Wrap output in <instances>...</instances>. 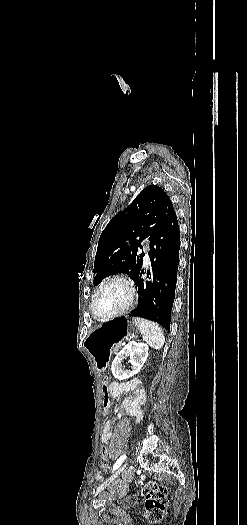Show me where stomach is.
I'll list each match as a JSON object with an SVG mask.
<instances>
[{
	"label": "stomach",
	"instance_id": "obj_1",
	"mask_svg": "<svg viewBox=\"0 0 247 525\" xmlns=\"http://www.w3.org/2000/svg\"><path fill=\"white\" fill-rule=\"evenodd\" d=\"M138 332L134 320L118 317L96 326L84 343L87 352L92 356L97 370L104 371L109 363L111 349L128 337Z\"/></svg>",
	"mask_w": 247,
	"mask_h": 525
}]
</instances>
